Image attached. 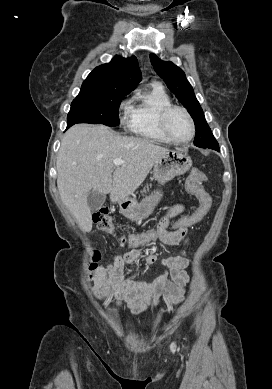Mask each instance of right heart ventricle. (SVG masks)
<instances>
[{
    "instance_id": "e07e8e85",
    "label": "right heart ventricle",
    "mask_w": 272,
    "mask_h": 389,
    "mask_svg": "<svg viewBox=\"0 0 272 389\" xmlns=\"http://www.w3.org/2000/svg\"><path fill=\"white\" fill-rule=\"evenodd\" d=\"M172 104L170 96L157 83L139 95L128 110V129L144 139L157 142H170L159 125V115Z\"/></svg>"
}]
</instances>
